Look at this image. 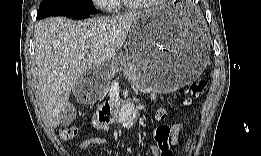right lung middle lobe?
I'll use <instances>...</instances> for the list:
<instances>
[{
	"label": "right lung middle lobe",
	"instance_id": "dd1d6c3e",
	"mask_svg": "<svg viewBox=\"0 0 261 156\" xmlns=\"http://www.w3.org/2000/svg\"><path fill=\"white\" fill-rule=\"evenodd\" d=\"M94 13H97V10L91 0H42L37 19H43L52 15H63L73 18Z\"/></svg>",
	"mask_w": 261,
	"mask_h": 156
}]
</instances>
